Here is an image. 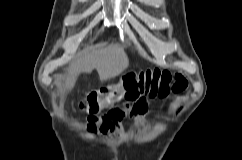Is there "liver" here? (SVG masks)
Returning <instances> with one entry per match:
<instances>
[{
    "instance_id": "liver-1",
    "label": "liver",
    "mask_w": 242,
    "mask_h": 160,
    "mask_svg": "<svg viewBox=\"0 0 242 160\" xmlns=\"http://www.w3.org/2000/svg\"><path fill=\"white\" fill-rule=\"evenodd\" d=\"M129 66V59L124 48L110 45L103 49L92 51L72 62L64 77L66 90L71 91L80 73H91L97 70L99 79L104 82L121 74Z\"/></svg>"
}]
</instances>
